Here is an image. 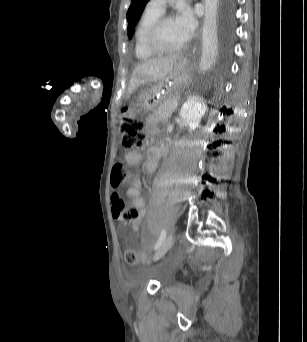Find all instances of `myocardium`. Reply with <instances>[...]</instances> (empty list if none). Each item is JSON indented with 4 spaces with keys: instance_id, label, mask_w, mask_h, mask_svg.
Returning a JSON list of instances; mask_svg holds the SVG:
<instances>
[{
    "instance_id": "obj_1",
    "label": "myocardium",
    "mask_w": 307,
    "mask_h": 342,
    "mask_svg": "<svg viewBox=\"0 0 307 342\" xmlns=\"http://www.w3.org/2000/svg\"><path fill=\"white\" fill-rule=\"evenodd\" d=\"M169 21H175V18L168 15H161L154 19L149 25L145 34V46L146 48L156 56H174L181 54L186 46H183L176 50H165L158 44L157 38L161 27Z\"/></svg>"
}]
</instances>
